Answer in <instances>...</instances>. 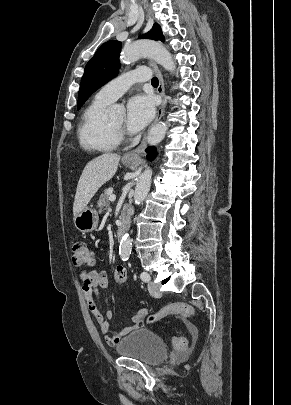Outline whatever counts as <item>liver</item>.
Segmentation results:
<instances>
[{"label":"liver","instance_id":"1","mask_svg":"<svg viewBox=\"0 0 291 405\" xmlns=\"http://www.w3.org/2000/svg\"><path fill=\"white\" fill-rule=\"evenodd\" d=\"M120 158L115 153H104L85 166L76 189L74 217L87 207L99 188L115 175Z\"/></svg>","mask_w":291,"mask_h":405}]
</instances>
